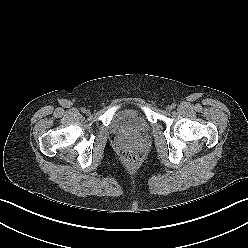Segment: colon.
I'll return each instance as SVG.
<instances>
[{
	"label": "colon",
	"mask_w": 248,
	"mask_h": 248,
	"mask_svg": "<svg viewBox=\"0 0 248 248\" xmlns=\"http://www.w3.org/2000/svg\"><path fill=\"white\" fill-rule=\"evenodd\" d=\"M122 160L128 167L134 168L138 164L139 158L134 151L125 150L122 153Z\"/></svg>",
	"instance_id": "colon-1"
}]
</instances>
